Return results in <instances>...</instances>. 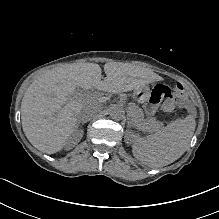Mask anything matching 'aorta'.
I'll return each instance as SVG.
<instances>
[{
    "mask_svg": "<svg viewBox=\"0 0 219 219\" xmlns=\"http://www.w3.org/2000/svg\"><path fill=\"white\" fill-rule=\"evenodd\" d=\"M110 117L114 120H121L124 117V110L122 107L116 104H112L108 108Z\"/></svg>",
    "mask_w": 219,
    "mask_h": 219,
    "instance_id": "obj_1",
    "label": "aorta"
}]
</instances>
